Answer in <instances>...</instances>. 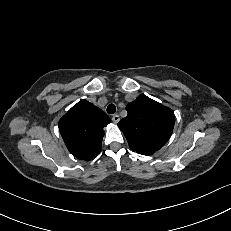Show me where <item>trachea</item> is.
<instances>
[{
    "label": "trachea",
    "mask_w": 231,
    "mask_h": 231,
    "mask_svg": "<svg viewBox=\"0 0 231 231\" xmlns=\"http://www.w3.org/2000/svg\"><path fill=\"white\" fill-rule=\"evenodd\" d=\"M107 112L109 114H114L116 112V106L114 104H110L107 107Z\"/></svg>",
    "instance_id": "trachea-1"
}]
</instances>
